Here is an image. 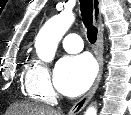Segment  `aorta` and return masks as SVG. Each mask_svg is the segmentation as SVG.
<instances>
[{
    "instance_id": "1",
    "label": "aorta",
    "mask_w": 131,
    "mask_h": 115,
    "mask_svg": "<svg viewBox=\"0 0 131 115\" xmlns=\"http://www.w3.org/2000/svg\"><path fill=\"white\" fill-rule=\"evenodd\" d=\"M74 20L75 17L72 12L64 11L44 24L35 42L37 55L42 61L51 62L54 59L59 41ZM84 115H97V109L94 106H90Z\"/></svg>"
}]
</instances>
